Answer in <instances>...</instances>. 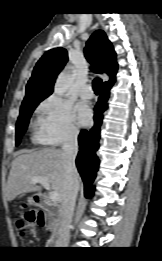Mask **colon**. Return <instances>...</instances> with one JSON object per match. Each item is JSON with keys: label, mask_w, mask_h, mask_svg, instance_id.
I'll return each mask as SVG.
<instances>
[{"label": "colon", "mask_w": 162, "mask_h": 261, "mask_svg": "<svg viewBox=\"0 0 162 261\" xmlns=\"http://www.w3.org/2000/svg\"><path fill=\"white\" fill-rule=\"evenodd\" d=\"M44 216L41 211L34 209L26 210L21 214V220L18 222L19 228H33L34 226H43Z\"/></svg>", "instance_id": "1"}]
</instances>
